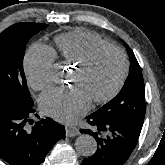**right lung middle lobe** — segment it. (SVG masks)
<instances>
[{
  "label": "right lung middle lobe",
  "mask_w": 165,
  "mask_h": 165,
  "mask_svg": "<svg viewBox=\"0 0 165 165\" xmlns=\"http://www.w3.org/2000/svg\"><path fill=\"white\" fill-rule=\"evenodd\" d=\"M46 24L24 22L5 29L0 34V99L32 105L23 58L28 40Z\"/></svg>",
  "instance_id": "1"
}]
</instances>
